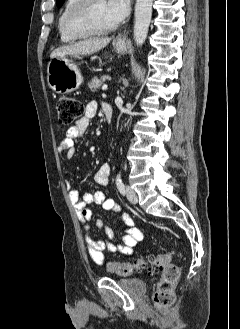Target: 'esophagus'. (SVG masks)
<instances>
[{"instance_id":"obj_1","label":"esophagus","mask_w":240,"mask_h":329,"mask_svg":"<svg viewBox=\"0 0 240 329\" xmlns=\"http://www.w3.org/2000/svg\"><path fill=\"white\" fill-rule=\"evenodd\" d=\"M116 40L120 46H124L126 44V36L124 34H119L116 37Z\"/></svg>"}]
</instances>
